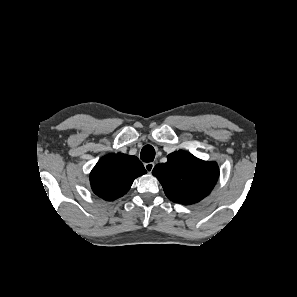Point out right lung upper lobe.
I'll return each mask as SVG.
<instances>
[{"label": "right lung upper lobe", "instance_id": "1", "mask_svg": "<svg viewBox=\"0 0 297 297\" xmlns=\"http://www.w3.org/2000/svg\"><path fill=\"white\" fill-rule=\"evenodd\" d=\"M146 173L135 156L110 154L102 157L90 173L93 192L107 201L123 196L135 178Z\"/></svg>", "mask_w": 297, "mask_h": 297}]
</instances>
